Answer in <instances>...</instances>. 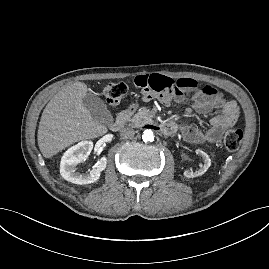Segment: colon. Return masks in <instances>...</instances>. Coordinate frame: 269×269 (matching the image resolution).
<instances>
[{"mask_svg":"<svg viewBox=\"0 0 269 269\" xmlns=\"http://www.w3.org/2000/svg\"><path fill=\"white\" fill-rule=\"evenodd\" d=\"M142 88V82L137 84ZM127 93V87L124 83L111 82L104 86L103 94L112 107L117 106ZM164 103V102H163ZM243 140V132L240 129H230L224 134L223 142L228 151H236Z\"/></svg>","mask_w":269,"mask_h":269,"instance_id":"obj_1","label":"colon"}]
</instances>
